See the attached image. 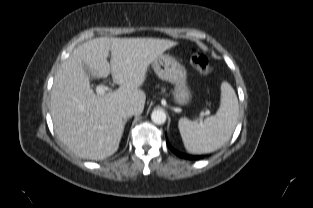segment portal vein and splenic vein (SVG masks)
<instances>
[{
	"label": "portal vein and splenic vein",
	"instance_id": "18ae733b",
	"mask_svg": "<svg viewBox=\"0 0 313 208\" xmlns=\"http://www.w3.org/2000/svg\"><path fill=\"white\" fill-rule=\"evenodd\" d=\"M109 90V87L105 86V85H99L95 88V91L97 94L99 95H104L106 93V91Z\"/></svg>",
	"mask_w": 313,
	"mask_h": 208
}]
</instances>
